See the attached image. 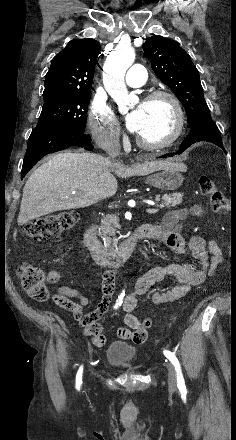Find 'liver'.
<instances>
[{
    "label": "liver",
    "instance_id": "liver-1",
    "mask_svg": "<svg viewBox=\"0 0 236 440\" xmlns=\"http://www.w3.org/2000/svg\"><path fill=\"white\" fill-rule=\"evenodd\" d=\"M171 165L176 164L159 160L127 167L94 153H58L27 180L17 222L23 225L56 211L84 208L112 197L118 187L112 172L127 178Z\"/></svg>",
    "mask_w": 236,
    "mask_h": 440
}]
</instances>
